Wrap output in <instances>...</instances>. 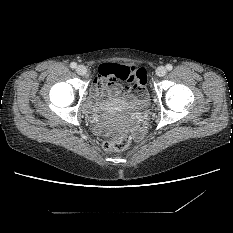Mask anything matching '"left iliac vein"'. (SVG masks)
Returning a JSON list of instances; mask_svg holds the SVG:
<instances>
[{"instance_id":"obj_1","label":"left iliac vein","mask_w":233,"mask_h":233,"mask_svg":"<svg viewBox=\"0 0 233 233\" xmlns=\"http://www.w3.org/2000/svg\"><path fill=\"white\" fill-rule=\"evenodd\" d=\"M167 70L164 66H159L156 70V75L159 77H163L166 74Z\"/></svg>"}]
</instances>
